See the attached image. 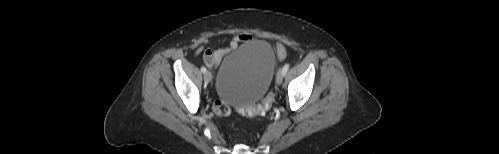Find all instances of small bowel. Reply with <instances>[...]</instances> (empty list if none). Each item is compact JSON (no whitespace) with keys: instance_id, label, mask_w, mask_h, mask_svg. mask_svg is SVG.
<instances>
[{"instance_id":"obj_1","label":"small bowel","mask_w":499,"mask_h":154,"mask_svg":"<svg viewBox=\"0 0 499 154\" xmlns=\"http://www.w3.org/2000/svg\"><path fill=\"white\" fill-rule=\"evenodd\" d=\"M226 40L227 39H224L223 41H226ZM252 40H255V37L251 34H246V33L238 34L229 40V43L227 46L219 48V49L215 50L214 52H211L210 58H207V59L204 58L205 63L210 68L216 69L218 67L219 63L221 62V59L225 55H227L231 51L235 50L239 46L240 43L248 42V41H252Z\"/></svg>"}]
</instances>
